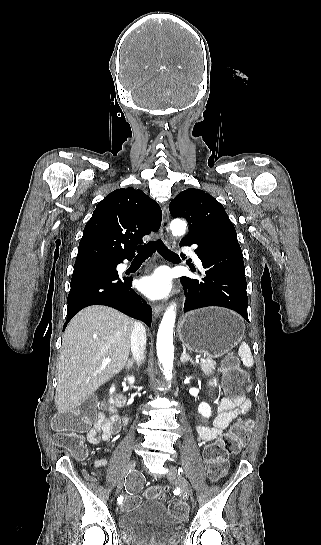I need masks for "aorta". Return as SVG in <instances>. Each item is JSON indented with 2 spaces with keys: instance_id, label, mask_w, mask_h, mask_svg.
<instances>
[{
  "instance_id": "aorta-1",
  "label": "aorta",
  "mask_w": 321,
  "mask_h": 545,
  "mask_svg": "<svg viewBox=\"0 0 321 545\" xmlns=\"http://www.w3.org/2000/svg\"><path fill=\"white\" fill-rule=\"evenodd\" d=\"M173 235H184L187 224L184 220L175 219L171 222ZM176 318L175 304L166 310L157 334V356L163 366V372L167 380L172 379L174 360L173 328Z\"/></svg>"
}]
</instances>
